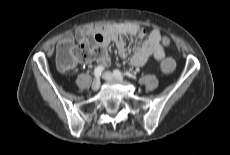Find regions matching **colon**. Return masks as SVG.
Segmentation results:
<instances>
[{"label":"colon","mask_w":230,"mask_h":155,"mask_svg":"<svg viewBox=\"0 0 230 155\" xmlns=\"http://www.w3.org/2000/svg\"><path fill=\"white\" fill-rule=\"evenodd\" d=\"M104 53L103 47L88 46L86 44L60 43L56 52V64L64 72L70 71L76 63H87L100 58ZM176 60L172 56H165L160 61V70L169 74L175 70Z\"/></svg>","instance_id":"obj_1"}]
</instances>
